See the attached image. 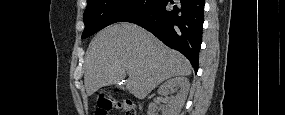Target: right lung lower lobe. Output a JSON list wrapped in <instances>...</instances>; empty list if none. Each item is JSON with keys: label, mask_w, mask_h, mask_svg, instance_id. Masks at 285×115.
Instances as JSON below:
<instances>
[{"label": "right lung lower lobe", "mask_w": 285, "mask_h": 115, "mask_svg": "<svg viewBox=\"0 0 285 115\" xmlns=\"http://www.w3.org/2000/svg\"><path fill=\"white\" fill-rule=\"evenodd\" d=\"M204 0H156L122 22L137 24L165 45L181 52L198 70L204 22Z\"/></svg>", "instance_id": "1"}]
</instances>
